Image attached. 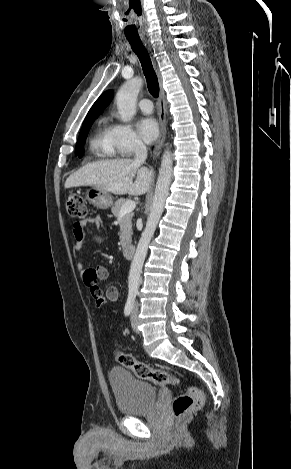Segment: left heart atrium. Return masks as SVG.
Returning <instances> with one entry per match:
<instances>
[{
	"label": "left heart atrium",
	"instance_id": "left-heart-atrium-1",
	"mask_svg": "<svg viewBox=\"0 0 291 469\" xmlns=\"http://www.w3.org/2000/svg\"><path fill=\"white\" fill-rule=\"evenodd\" d=\"M138 130L143 139L150 143L153 142L159 133V128L156 120L151 117L142 118L138 122Z\"/></svg>",
	"mask_w": 291,
	"mask_h": 469
}]
</instances>
